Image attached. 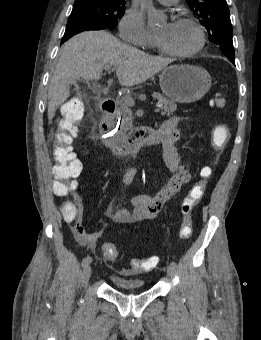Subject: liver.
I'll list each match as a JSON object with an SVG mask.
<instances>
[{"label": "liver", "instance_id": "6515ba94", "mask_svg": "<svg viewBox=\"0 0 261 340\" xmlns=\"http://www.w3.org/2000/svg\"><path fill=\"white\" fill-rule=\"evenodd\" d=\"M171 59L150 56L122 44L106 31H86L64 44L48 90V120L70 96V84L78 78L98 80L104 66H114L121 85L131 87L160 72Z\"/></svg>", "mask_w": 261, "mask_h": 340}]
</instances>
